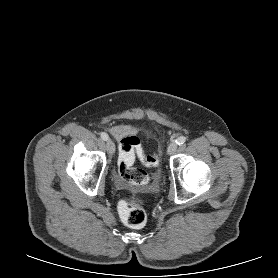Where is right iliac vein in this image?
<instances>
[{
    "mask_svg": "<svg viewBox=\"0 0 278 278\" xmlns=\"http://www.w3.org/2000/svg\"><path fill=\"white\" fill-rule=\"evenodd\" d=\"M107 151L110 155H113L115 152V144L111 139H108L106 142Z\"/></svg>",
    "mask_w": 278,
    "mask_h": 278,
    "instance_id": "right-iliac-vein-1",
    "label": "right iliac vein"
}]
</instances>
